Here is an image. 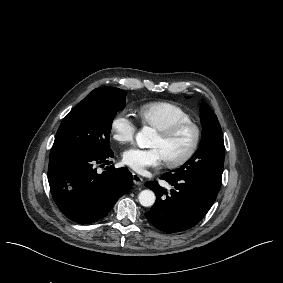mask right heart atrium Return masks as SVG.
Returning <instances> with one entry per match:
<instances>
[{
  "label": "right heart atrium",
  "mask_w": 283,
  "mask_h": 283,
  "mask_svg": "<svg viewBox=\"0 0 283 283\" xmlns=\"http://www.w3.org/2000/svg\"><path fill=\"white\" fill-rule=\"evenodd\" d=\"M137 125L124 113L113 115L109 123V135L118 144H128L134 139Z\"/></svg>",
  "instance_id": "right-heart-atrium-1"
}]
</instances>
